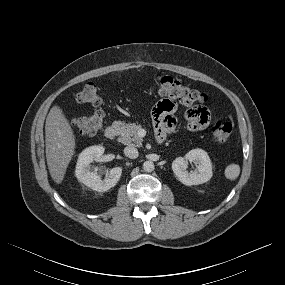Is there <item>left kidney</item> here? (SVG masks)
<instances>
[{"label": "left kidney", "mask_w": 285, "mask_h": 285, "mask_svg": "<svg viewBox=\"0 0 285 285\" xmlns=\"http://www.w3.org/2000/svg\"><path fill=\"white\" fill-rule=\"evenodd\" d=\"M188 161L196 162L195 171H187ZM172 170L179 181L187 186L203 184L213 175L207 152L199 148L189 151L184 157L176 158L172 162Z\"/></svg>", "instance_id": "left-kidney-1"}]
</instances>
